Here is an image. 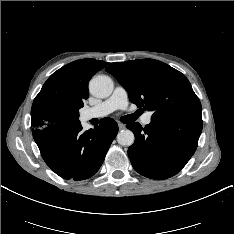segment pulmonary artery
Wrapping results in <instances>:
<instances>
[{"label": "pulmonary artery", "instance_id": "pulmonary-artery-1", "mask_svg": "<svg viewBox=\"0 0 234 234\" xmlns=\"http://www.w3.org/2000/svg\"><path fill=\"white\" fill-rule=\"evenodd\" d=\"M128 107V94L122 86H117L112 95L105 101L98 105L88 108L83 112L84 120H90L93 118H101L107 116L118 109H126ZM151 122V113L147 112L142 117V123L149 125Z\"/></svg>", "mask_w": 234, "mask_h": 234}]
</instances>
